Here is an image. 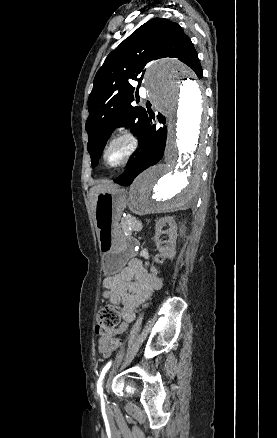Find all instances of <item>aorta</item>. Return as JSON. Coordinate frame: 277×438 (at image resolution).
I'll return each mask as SVG.
<instances>
[{"mask_svg": "<svg viewBox=\"0 0 277 438\" xmlns=\"http://www.w3.org/2000/svg\"><path fill=\"white\" fill-rule=\"evenodd\" d=\"M145 86L166 117L169 138L163 162L140 174L132 185L130 208L138 215L174 211L197 190L204 167L205 106L200 84L170 59L152 62Z\"/></svg>", "mask_w": 277, "mask_h": 438, "instance_id": "1", "label": "aorta"}]
</instances>
